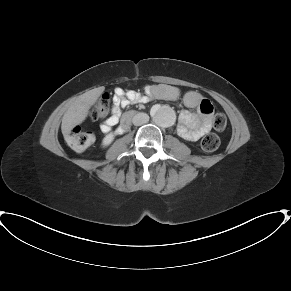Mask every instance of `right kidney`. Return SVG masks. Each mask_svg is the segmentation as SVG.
Instances as JSON below:
<instances>
[{
    "instance_id": "1",
    "label": "right kidney",
    "mask_w": 291,
    "mask_h": 291,
    "mask_svg": "<svg viewBox=\"0 0 291 291\" xmlns=\"http://www.w3.org/2000/svg\"><path fill=\"white\" fill-rule=\"evenodd\" d=\"M113 140H114V134H108L106 137H104L102 141V146L106 147L110 145Z\"/></svg>"
}]
</instances>
